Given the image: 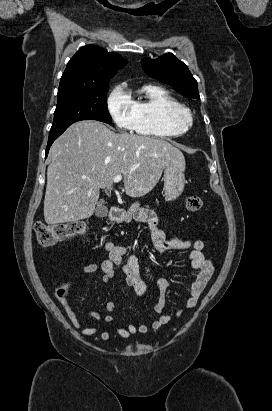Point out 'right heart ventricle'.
I'll return each mask as SVG.
<instances>
[{
	"instance_id": "e07e8e85",
	"label": "right heart ventricle",
	"mask_w": 272,
	"mask_h": 411,
	"mask_svg": "<svg viewBox=\"0 0 272 411\" xmlns=\"http://www.w3.org/2000/svg\"><path fill=\"white\" fill-rule=\"evenodd\" d=\"M131 100L134 107L132 129L136 133L156 138H171L186 132L187 129L173 124L172 115L189 111L165 88L147 85L138 97H131Z\"/></svg>"
}]
</instances>
